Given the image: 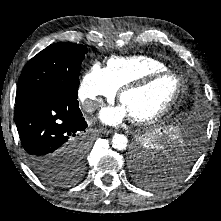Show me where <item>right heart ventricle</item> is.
Returning a JSON list of instances; mask_svg holds the SVG:
<instances>
[{
    "label": "right heart ventricle",
    "instance_id": "right-heart-ventricle-1",
    "mask_svg": "<svg viewBox=\"0 0 221 221\" xmlns=\"http://www.w3.org/2000/svg\"><path fill=\"white\" fill-rule=\"evenodd\" d=\"M105 69L109 79L118 89L149 73L167 70V66L151 56L132 55L110 58Z\"/></svg>",
    "mask_w": 221,
    "mask_h": 221
}]
</instances>
